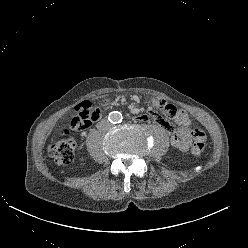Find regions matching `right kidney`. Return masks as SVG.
<instances>
[{
	"mask_svg": "<svg viewBox=\"0 0 248 248\" xmlns=\"http://www.w3.org/2000/svg\"><path fill=\"white\" fill-rule=\"evenodd\" d=\"M80 160H81V161H84V158L82 157Z\"/></svg>",
	"mask_w": 248,
	"mask_h": 248,
	"instance_id": "ca27d5eb",
	"label": "right kidney"
}]
</instances>
